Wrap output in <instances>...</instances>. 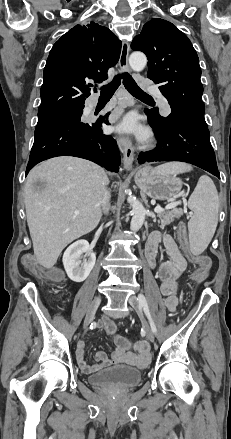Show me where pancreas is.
Segmentation results:
<instances>
[{
  "label": "pancreas",
  "mask_w": 231,
  "mask_h": 439,
  "mask_svg": "<svg viewBox=\"0 0 231 439\" xmlns=\"http://www.w3.org/2000/svg\"><path fill=\"white\" fill-rule=\"evenodd\" d=\"M181 215V209H173L165 213H159L157 214V217L159 218L158 226L163 229L166 225H169L175 220V218H179Z\"/></svg>",
  "instance_id": "obj_1"
}]
</instances>
